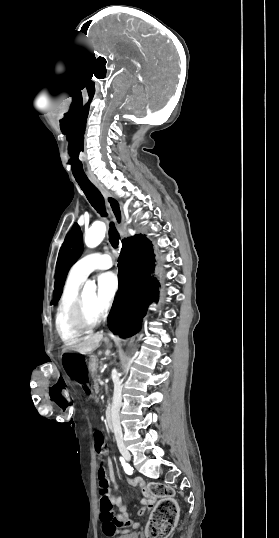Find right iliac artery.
<instances>
[{"label":"right iliac artery","instance_id":"1","mask_svg":"<svg viewBox=\"0 0 279 538\" xmlns=\"http://www.w3.org/2000/svg\"><path fill=\"white\" fill-rule=\"evenodd\" d=\"M120 461H121V463H122V466H123V468H124V471H125L127 474L131 475V474L133 473V468H132L128 463H126L125 460H124L122 457H120Z\"/></svg>","mask_w":279,"mask_h":538}]
</instances>
